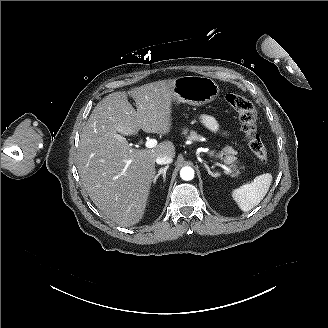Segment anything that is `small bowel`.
I'll use <instances>...</instances> for the list:
<instances>
[{"mask_svg": "<svg viewBox=\"0 0 328 328\" xmlns=\"http://www.w3.org/2000/svg\"><path fill=\"white\" fill-rule=\"evenodd\" d=\"M202 123L209 128L212 131H218L219 130V124L217 120L210 116V115H202L201 116Z\"/></svg>", "mask_w": 328, "mask_h": 328, "instance_id": "1", "label": "small bowel"}]
</instances>
